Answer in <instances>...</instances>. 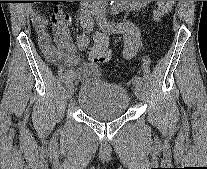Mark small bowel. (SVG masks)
Returning <instances> with one entry per match:
<instances>
[{"label": "small bowel", "mask_w": 207, "mask_h": 169, "mask_svg": "<svg viewBox=\"0 0 207 169\" xmlns=\"http://www.w3.org/2000/svg\"><path fill=\"white\" fill-rule=\"evenodd\" d=\"M149 2L120 1L117 8H141ZM29 14L33 21L40 49L49 62L63 64L70 68L78 66L77 69H70L68 73L73 74L74 78L82 80L90 79L100 72L98 64L93 62L80 63L69 33L72 18L61 7H56L49 19L35 9H31ZM49 24L52 26L51 34L47 29Z\"/></svg>", "instance_id": "small-bowel-1"}]
</instances>
